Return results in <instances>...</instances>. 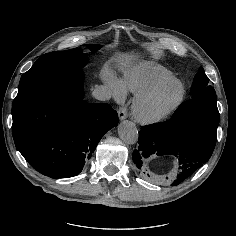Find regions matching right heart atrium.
<instances>
[{
    "instance_id": "obj_1",
    "label": "right heart atrium",
    "mask_w": 236,
    "mask_h": 236,
    "mask_svg": "<svg viewBox=\"0 0 236 236\" xmlns=\"http://www.w3.org/2000/svg\"><path fill=\"white\" fill-rule=\"evenodd\" d=\"M103 82L109 89L111 97L118 104L125 101L127 96V90L124 87L122 80L113 72L105 71L103 74Z\"/></svg>"
}]
</instances>
